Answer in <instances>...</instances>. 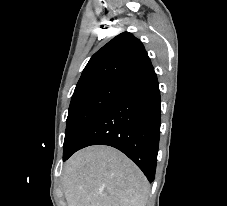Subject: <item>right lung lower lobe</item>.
Masks as SVG:
<instances>
[{
    "instance_id": "right-lung-lower-lobe-1",
    "label": "right lung lower lobe",
    "mask_w": 227,
    "mask_h": 206,
    "mask_svg": "<svg viewBox=\"0 0 227 206\" xmlns=\"http://www.w3.org/2000/svg\"><path fill=\"white\" fill-rule=\"evenodd\" d=\"M160 124V91L153 69L128 82L127 89L90 124L63 161L86 146L108 145L126 154L152 182Z\"/></svg>"
}]
</instances>
